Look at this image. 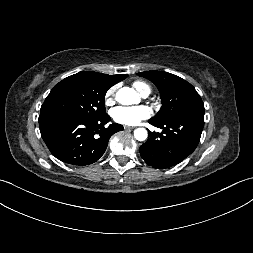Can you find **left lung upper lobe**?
Listing matches in <instances>:
<instances>
[{"mask_svg":"<svg viewBox=\"0 0 253 253\" xmlns=\"http://www.w3.org/2000/svg\"><path fill=\"white\" fill-rule=\"evenodd\" d=\"M137 75L152 81L161 95L163 105L151 120L166 122L196 108L204 109L200 95L184 79L163 71H146Z\"/></svg>","mask_w":253,"mask_h":253,"instance_id":"1","label":"left lung upper lobe"}]
</instances>
